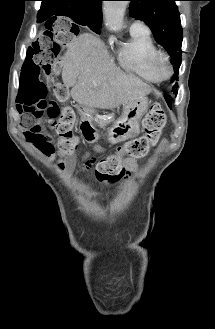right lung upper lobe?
I'll list each match as a JSON object with an SVG mask.
<instances>
[{
	"label": "right lung upper lobe",
	"instance_id": "cb5924a9",
	"mask_svg": "<svg viewBox=\"0 0 215 329\" xmlns=\"http://www.w3.org/2000/svg\"><path fill=\"white\" fill-rule=\"evenodd\" d=\"M38 22L53 21L56 16L78 14L87 22L102 23L103 0H41Z\"/></svg>",
	"mask_w": 215,
	"mask_h": 329
}]
</instances>
